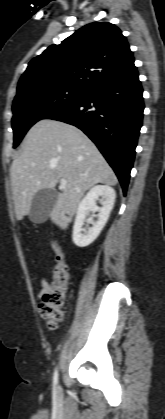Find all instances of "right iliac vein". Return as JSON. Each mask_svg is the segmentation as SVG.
Returning a JSON list of instances; mask_svg holds the SVG:
<instances>
[{
    "label": "right iliac vein",
    "mask_w": 165,
    "mask_h": 419,
    "mask_svg": "<svg viewBox=\"0 0 165 419\" xmlns=\"http://www.w3.org/2000/svg\"><path fill=\"white\" fill-rule=\"evenodd\" d=\"M57 390H58V391L60 390V386H58V387H57Z\"/></svg>",
    "instance_id": "obj_1"
}]
</instances>
